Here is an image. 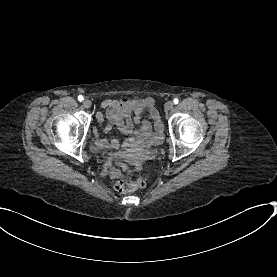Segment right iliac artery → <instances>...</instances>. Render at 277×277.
Instances as JSON below:
<instances>
[{
	"label": "right iliac artery",
	"mask_w": 277,
	"mask_h": 277,
	"mask_svg": "<svg viewBox=\"0 0 277 277\" xmlns=\"http://www.w3.org/2000/svg\"><path fill=\"white\" fill-rule=\"evenodd\" d=\"M83 99H84V98H83L82 95H79V96H78V100H79V101H82Z\"/></svg>",
	"instance_id": "1"
}]
</instances>
